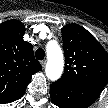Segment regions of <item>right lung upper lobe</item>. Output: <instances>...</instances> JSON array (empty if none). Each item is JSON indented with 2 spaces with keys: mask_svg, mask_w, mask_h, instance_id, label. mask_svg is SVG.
Segmentation results:
<instances>
[{
  "mask_svg": "<svg viewBox=\"0 0 108 108\" xmlns=\"http://www.w3.org/2000/svg\"><path fill=\"white\" fill-rule=\"evenodd\" d=\"M24 32L18 20L0 24V103L21 98L32 75L42 69L32 45L23 40Z\"/></svg>",
  "mask_w": 108,
  "mask_h": 108,
  "instance_id": "cb5924a9",
  "label": "right lung upper lobe"
}]
</instances>
